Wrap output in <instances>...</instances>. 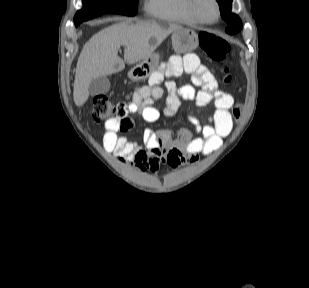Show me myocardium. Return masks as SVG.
<instances>
[{
    "mask_svg": "<svg viewBox=\"0 0 309 288\" xmlns=\"http://www.w3.org/2000/svg\"><path fill=\"white\" fill-rule=\"evenodd\" d=\"M198 2L199 0H189L188 8H189V12L192 15V17L200 24H204V25L216 24L222 16V9H221L219 0H212V2L215 4L216 9H217V17L214 20H206L200 15L199 10H198Z\"/></svg>",
    "mask_w": 309,
    "mask_h": 288,
    "instance_id": "f54148a6",
    "label": "myocardium"
}]
</instances>
